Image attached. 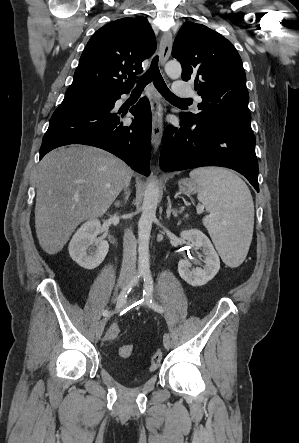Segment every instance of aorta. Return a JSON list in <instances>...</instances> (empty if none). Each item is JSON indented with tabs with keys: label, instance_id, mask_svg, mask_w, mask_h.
<instances>
[{
	"label": "aorta",
	"instance_id": "1",
	"mask_svg": "<svg viewBox=\"0 0 299 443\" xmlns=\"http://www.w3.org/2000/svg\"><path fill=\"white\" fill-rule=\"evenodd\" d=\"M165 71L171 79L181 76L182 68L179 62L169 61ZM159 200V187L156 180H151L146 187L142 204V214L138 222V270L142 274L150 272L149 240L152 223L156 218V209Z\"/></svg>",
	"mask_w": 299,
	"mask_h": 443
}]
</instances>
